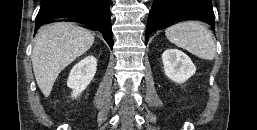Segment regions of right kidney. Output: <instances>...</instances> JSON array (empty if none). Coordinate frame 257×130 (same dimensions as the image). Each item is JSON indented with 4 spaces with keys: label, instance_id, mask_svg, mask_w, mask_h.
<instances>
[{
    "label": "right kidney",
    "instance_id": "obj_1",
    "mask_svg": "<svg viewBox=\"0 0 257 130\" xmlns=\"http://www.w3.org/2000/svg\"><path fill=\"white\" fill-rule=\"evenodd\" d=\"M97 60L94 56H87L70 71L67 86L73 90L72 97L76 98L84 91L95 76Z\"/></svg>",
    "mask_w": 257,
    "mask_h": 130
}]
</instances>
